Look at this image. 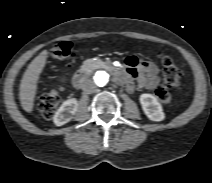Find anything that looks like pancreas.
Listing matches in <instances>:
<instances>
[{
    "label": "pancreas",
    "instance_id": "obj_1",
    "mask_svg": "<svg viewBox=\"0 0 212 183\" xmlns=\"http://www.w3.org/2000/svg\"><path fill=\"white\" fill-rule=\"evenodd\" d=\"M99 60H94V59H88L84 62V66H88L94 63H97Z\"/></svg>",
    "mask_w": 212,
    "mask_h": 183
}]
</instances>
